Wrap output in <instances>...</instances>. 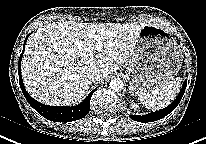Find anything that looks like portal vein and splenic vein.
Wrapping results in <instances>:
<instances>
[{"instance_id": "portal-vein-and-splenic-vein-1", "label": "portal vein and splenic vein", "mask_w": 206, "mask_h": 144, "mask_svg": "<svg viewBox=\"0 0 206 144\" xmlns=\"http://www.w3.org/2000/svg\"><path fill=\"white\" fill-rule=\"evenodd\" d=\"M94 39L96 40V45H95V47H96V50L97 51H101L102 50V44H103V42H102V39H103V37L101 36V35H95L94 36Z\"/></svg>"}]
</instances>
